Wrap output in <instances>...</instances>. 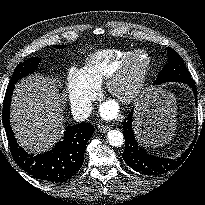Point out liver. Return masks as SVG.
<instances>
[{"instance_id": "1", "label": "liver", "mask_w": 205, "mask_h": 205, "mask_svg": "<svg viewBox=\"0 0 205 205\" xmlns=\"http://www.w3.org/2000/svg\"><path fill=\"white\" fill-rule=\"evenodd\" d=\"M57 83L38 74L16 84L11 102V125L19 144L39 153L58 141L62 126Z\"/></svg>"}]
</instances>
